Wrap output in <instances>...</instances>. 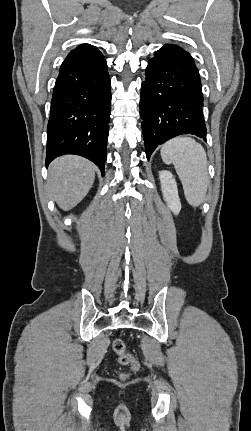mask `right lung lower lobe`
I'll list each match as a JSON object with an SVG mask.
<instances>
[{
	"label": "right lung lower lobe",
	"instance_id": "obj_1",
	"mask_svg": "<svg viewBox=\"0 0 251 431\" xmlns=\"http://www.w3.org/2000/svg\"><path fill=\"white\" fill-rule=\"evenodd\" d=\"M102 53L94 46L72 50L60 67L47 127L46 166L57 156L77 154L104 176L111 85Z\"/></svg>",
	"mask_w": 251,
	"mask_h": 431
}]
</instances>
